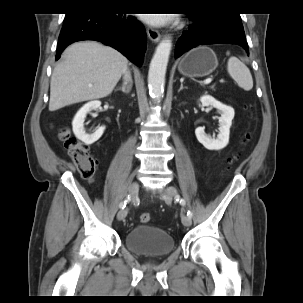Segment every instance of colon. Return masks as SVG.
Masks as SVG:
<instances>
[{
	"label": "colon",
	"mask_w": 303,
	"mask_h": 303,
	"mask_svg": "<svg viewBox=\"0 0 303 303\" xmlns=\"http://www.w3.org/2000/svg\"><path fill=\"white\" fill-rule=\"evenodd\" d=\"M62 139L71 159L76 163L79 172L88 180H93L98 169V160L89 153L87 146L79 142L67 130H62ZM151 219L150 213H142L140 222L147 223Z\"/></svg>",
	"instance_id": "1"
}]
</instances>
